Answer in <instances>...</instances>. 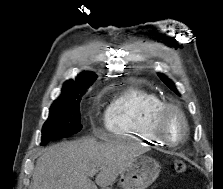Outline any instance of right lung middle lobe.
Listing matches in <instances>:
<instances>
[{"mask_svg": "<svg viewBox=\"0 0 223 189\" xmlns=\"http://www.w3.org/2000/svg\"><path fill=\"white\" fill-rule=\"evenodd\" d=\"M84 91L59 97L50 108L47 121L42 129L41 145L78 133L81 128L80 101Z\"/></svg>", "mask_w": 223, "mask_h": 189, "instance_id": "1", "label": "right lung middle lobe"}]
</instances>
